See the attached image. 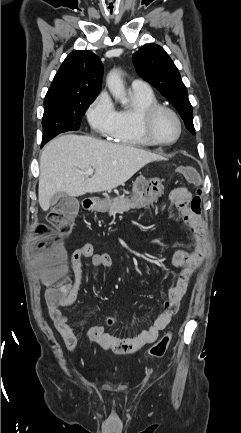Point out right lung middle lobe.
Returning <instances> with one entry per match:
<instances>
[{
  "label": "right lung middle lobe",
  "instance_id": "dd1d6c3e",
  "mask_svg": "<svg viewBox=\"0 0 241 433\" xmlns=\"http://www.w3.org/2000/svg\"><path fill=\"white\" fill-rule=\"evenodd\" d=\"M93 100L94 98L84 100H50L44 102L42 144H45L59 133L78 130L81 117Z\"/></svg>",
  "mask_w": 241,
  "mask_h": 433
}]
</instances>
